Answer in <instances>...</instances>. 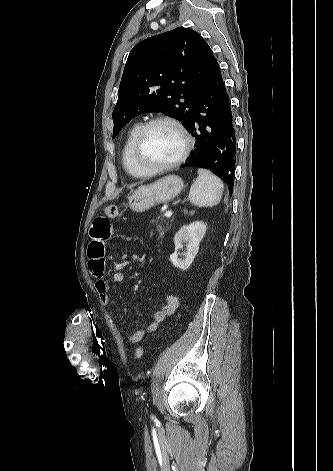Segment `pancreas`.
<instances>
[{
    "instance_id": "1",
    "label": "pancreas",
    "mask_w": 333,
    "mask_h": 471,
    "mask_svg": "<svg viewBox=\"0 0 333 471\" xmlns=\"http://www.w3.org/2000/svg\"><path fill=\"white\" fill-rule=\"evenodd\" d=\"M155 224H156V230L157 232H159L160 235H163L171 227L168 221H164L160 217L158 218Z\"/></svg>"
}]
</instances>
